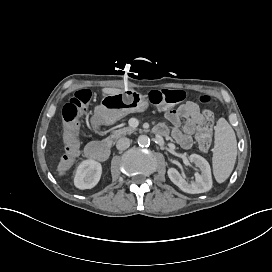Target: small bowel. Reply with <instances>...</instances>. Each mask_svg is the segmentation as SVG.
I'll return each mask as SVG.
<instances>
[{
  "label": "small bowel",
  "mask_w": 272,
  "mask_h": 272,
  "mask_svg": "<svg viewBox=\"0 0 272 272\" xmlns=\"http://www.w3.org/2000/svg\"><path fill=\"white\" fill-rule=\"evenodd\" d=\"M166 122H160L154 127L158 135L169 134L184 149L193 145V135L202 130L197 124L201 114L200 108L194 101H186L176 109L166 108Z\"/></svg>",
  "instance_id": "obj_1"
}]
</instances>
